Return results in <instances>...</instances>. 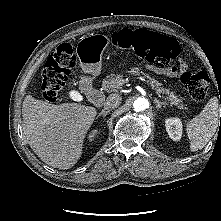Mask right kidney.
<instances>
[{"instance_id": "obj_1", "label": "right kidney", "mask_w": 221, "mask_h": 221, "mask_svg": "<svg viewBox=\"0 0 221 221\" xmlns=\"http://www.w3.org/2000/svg\"><path fill=\"white\" fill-rule=\"evenodd\" d=\"M96 133H97V130H96V129L92 130V131L90 132V134L88 135V139H89L90 141H92L93 138H94V136L96 135Z\"/></svg>"}]
</instances>
